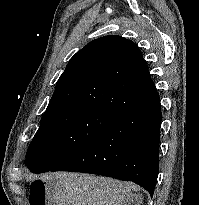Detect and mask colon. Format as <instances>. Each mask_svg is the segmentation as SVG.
Returning a JSON list of instances; mask_svg holds the SVG:
<instances>
[{
  "label": "colon",
  "mask_w": 199,
  "mask_h": 205,
  "mask_svg": "<svg viewBox=\"0 0 199 205\" xmlns=\"http://www.w3.org/2000/svg\"><path fill=\"white\" fill-rule=\"evenodd\" d=\"M32 205H46L45 196L40 192L39 186L34 185L31 192Z\"/></svg>",
  "instance_id": "obj_1"
}]
</instances>
